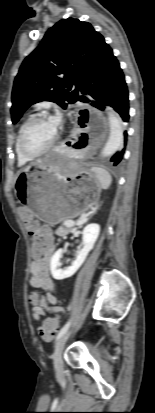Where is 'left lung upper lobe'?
Returning <instances> with one entry per match:
<instances>
[{
    "mask_svg": "<svg viewBox=\"0 0 155 413\" xmlns=\"http://www.w3.org/2000/svg\"><path fill=\"white\" fill-rule=\"evenodd\" d=\"M107 45L90 23L73 18L57 22L25 58L15 78L13 124L31 104L47 100L65 109L67 101L76 102L83 79ZM73 85L76 88L70 92Z\"/></svg>",
    "mask_w": 155,
    "mask_h": 413,
    "instance_id": "1",
    "label": "left lung upper lobe"
}]
</instances>
